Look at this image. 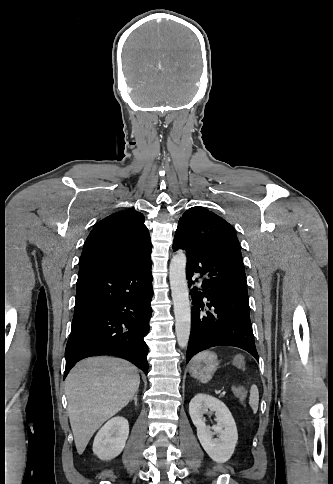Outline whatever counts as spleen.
<instances>
[{
	"label": "spleen",
	"mask_w": 333,
	"mask_h": 484,
	"mask_svg": "<svg viewBox=\"0 0 333 484\" xmlns=\"http://www.w3.org/2000/svg\"><path fill=\"white\" fill-rule=\"evenodd\" d=\"M234 391H236L234 389ZM259 404V392L256 385H252L250 388V397H249V405L252 408L253 412L256 413L258 410Z\"/></svg>",
	"instance_id": "spleen-1"
}]
</instances>
